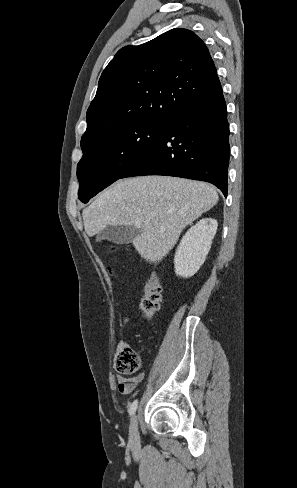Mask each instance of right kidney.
<instances>
[{"label": "right kidney", "instance_id": "right-kidney-1", "mask_svg": "<svg viewBox=\"0 0 297 488\" xmlns=\"http://www.w3.org/2000/svg\"><path fill=\"white\" fill-rule=\"evenodd\" d=\"M217 226L215 219L204 218L186 232L174 257L177 276L191 277L199 270L211 248Z\"/></svg>", "mask_w": 297, "mask_h": 488}]
</instances>
